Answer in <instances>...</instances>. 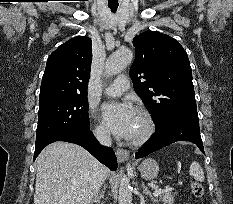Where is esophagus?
Masks as SVG:
<instances>
[{
	"label": "esophagus",
	"mask_w": 233,
	"mask_h": 204,
	"mask_svg": "<svg viewBox=\"0 0 233 204\" xmlns=\"http://www.w3.org/2000/svg\"><path fill=\"white\" fill-rule=\"evenodd\" d=\"M115 153L119 162L128 161L130 159V154L125 149H116Z\"/></svg>",
	"instance_id": "obj_1"
}]
</instances>
